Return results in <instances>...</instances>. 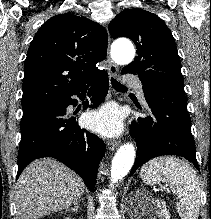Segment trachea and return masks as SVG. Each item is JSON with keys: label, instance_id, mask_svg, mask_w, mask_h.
Instances as JSON below:
<instances>
[{"label": "trachea", "instance_id": "obj_1", "mask_svg": "<svg viewBox=\"0 0 211 219\" xmlns=\"http://www.w3.org/2000/svg\"><path fill=\"white\" fill-rule=\"evenodd\" d=\"M111 84L114 87V89H117V90H124V89H126L125 86H123L121 83L116 81L114 78H111Z\"/></svg>", "mask_w": 211, "mask_h": 219}]
</instances>
